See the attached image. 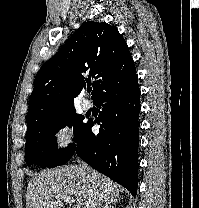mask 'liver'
Segmentation results:
<instances>
[{
    "label": "liver",
    "instance_id": "6515ba94",
    "mask_svg": "<svg viewBox=\"0 0 199 208\" xmlns=\"http://www.w3.org/2000/svg\"><path fill=\"white\" fill-rule=\"evenodd\" d=\"M93 184L104 202L119 198L122 188L108 177L90 168L84 171L77 165L43 170L28 183L27 208H62L65 197L74 196L79 208H87Z\"/></svg>",
    "mask_w": 199,
    "mask_h": 208
}]
</instances>
